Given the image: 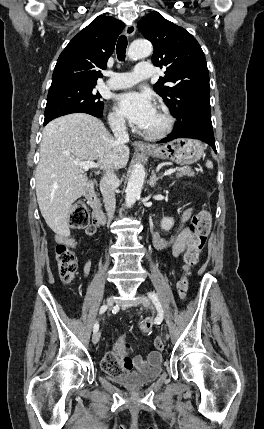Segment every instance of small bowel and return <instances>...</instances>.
I'll use <instances>...</instances> for the list:
<instances>
[{
  "label": "small bowel",
  "instance_id": "1",
  "mask_svg": "<svg viewBox=\"0 0 264 429\" xmlns=\"http://www.w3.org/2000/svg\"><path fill=\"white\" fill-rule=\"evenodd\" d=\"M191 212H192L191 208H188L183 212L182 218H181L182 223L187 221V219L191 215ZM98 225L99 224L94 220L92 224L88 228H86L85 230L86 235L89 237L94 236L95 233L97 232ZM191 237H192L191 230L187 227L181 226V228L176 233L170 236H162L158 232H154L152 236V241L154 246L157 249L163 250L166 248H170L173 255L175 257H178L185 250ZM56 240L59 243H64L72 247H76L81 243V241L78 238L70 236V233L68 231L58 234L56 236ZM90 270H91V260L88 259L84 266V275L87 276ZM130 349H131L130 344L125 342L124 339L120 338L114 343L108 355L119 359L121 363L124 365L127 372L133 369L142 371L150 366H154L161 362V354H160V350L158 349L151 351L148 354L147 359H144L141 356H135L133 358L127 356L125 354V351Z\"/></svg>",
  "mask_w": 264,
  "mask_h": 429
}]
</instances>
